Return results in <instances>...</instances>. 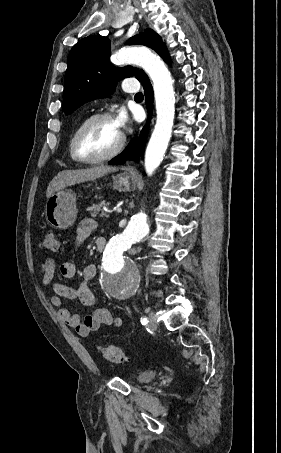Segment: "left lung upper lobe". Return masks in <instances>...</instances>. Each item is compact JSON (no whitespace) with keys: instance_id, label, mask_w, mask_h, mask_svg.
Here are the masks:
<instances>
[{"instance_id":"5c2ea615","label":"left lung upper lobe","mask_w":281,"mask_h":453,"mask_svg":"<svg viewBox=\"0 0 281 453\" xmlns=\"http://www.w3.org/2000/svg\"><path fill=\"white\" fill-rule=\"evenodd\" d=\"M128 45L140 44L154 49L159 55L165 44L151 29L130 38ZM110 41L99 35L80 40L70 51L65 74L62 111L70 114L81 104L110 94L117 81L135 76L142 81L143 70L131 66L116 68L109 62Z\"/></svg>"}]
</instances>
